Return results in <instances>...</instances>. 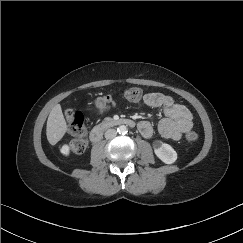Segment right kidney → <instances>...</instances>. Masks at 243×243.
<instances>
[{
	"label": "right kidney",
	"instance_id": "1",
	"mask_svg": "<svg viewBox=\"0 0 243 243\" xmlns=\"http://www.w3.org/2000/svg\"><path fill=\"white\" fill-rule=\"evenodd\" d=\"M60 152L65 156H69L70 147L68 145H63L62 148L60 149Z\"/></svg>",
	"mask_w": 243,
	"mask_h": 243
}]
</instances>
